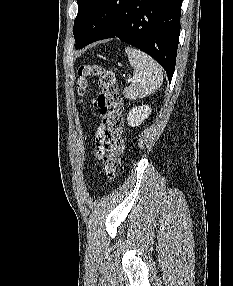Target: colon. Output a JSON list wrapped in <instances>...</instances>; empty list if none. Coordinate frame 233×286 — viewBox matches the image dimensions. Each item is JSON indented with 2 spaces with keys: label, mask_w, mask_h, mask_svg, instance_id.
<instances>
[{
  "label": "colon",
  "mask_w": 233,
  "mask_h": 286,
  "mask_svg": "<svg viewBox=\"0 0 233 286\" xmlns=\"http://www.w3.org/2000/svg\"><path fill=\"white\" fill-rule=\"evenodd\" d=\"M77 89L83 94L88 85V79L95 77L100 88L97 103L102 116L106 141L104 149V171L109 179L121 163L124 152L123 140V102L119 93L114 73L100 64H81L77 69Z\"/></svg>",
  "instance_id": "obj_1"
}]
</instances>
